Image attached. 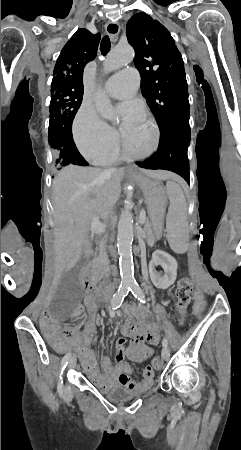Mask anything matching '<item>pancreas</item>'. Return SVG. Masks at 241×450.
<instances>
[{"label":"pancreas","instance_id":"pancreas-1","mask_svg":"<svg viewBox=\"0 0 241 450\" xmlns=\"http://www.w3.org/2000/svg\"><path fill=\"white\" fill-rule=\"evenodd\" d=\"M146 222H148V220H146ZM145 232H147L148 235L144 240L148 243L149 246L153 245V242L155 241V238L153 237V232H151L150 227H145ZM97 266L98 268H100V278H98V280H96V270H92V282H100V280H106V278H108L109 274V260L107 258V254L105 252V248L104 246H102L101 250H100V254L97 258ZM96 266V268H97ZM104 284V282H103Z\"/></svg>","mask_w":241,"mask_h":450}]
</instances>
